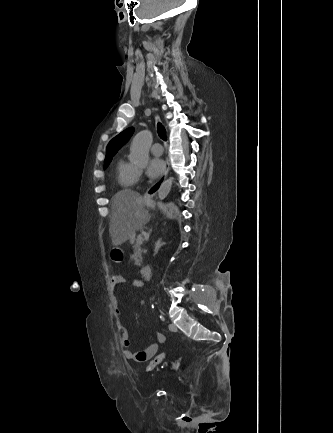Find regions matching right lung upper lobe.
Wrapping results in <instances>:
<instances>
[{"mask_svg": "<svg viewBox=\"0 0 333 433\" xmlns=\"http://www.w3.org/2000/svg\"><path fill=\"white\" fill-rule=\"evenodd\" d=\"M134 133V128H128L122 131L119 135L113 138L108 146L106 151L105 165H109L113 156L117 153V151L130 139L132 134Z\"/></svg>", "mask_w": 333, "mask_h": 433, "instance_id": "1", "label": "right lung upper lobe"}]
</instances>
